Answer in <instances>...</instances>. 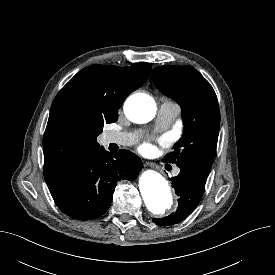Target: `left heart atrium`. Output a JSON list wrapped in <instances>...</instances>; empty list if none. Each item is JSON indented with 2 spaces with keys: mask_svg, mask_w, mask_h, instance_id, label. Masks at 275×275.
Wrapping results in <instances>:
<instances>
[{
  "mask_svg": "<svg viewBox=\"0 0 275 275\" xmlns=\"http://www.w3.org/2000/svg\"><path fill=\"white\" fill-rule=\"evenodd\" d=\"M141 148L144 150H148V149L152 148V145L150 143L146 142V143L142 144Z\"/></svg>",
  "mask_w": 275,
  "mask_h": 275,
  "instance_id": "39dd6f15",
  "label": "left heart atrium"
}]
</instances>
